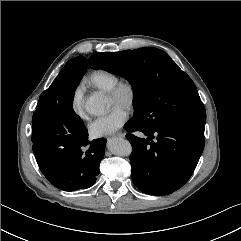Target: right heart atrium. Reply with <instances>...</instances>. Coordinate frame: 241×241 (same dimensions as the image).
<instances>
[{
    "mask_svg": "<svg viewBox=\"0 0 241 241\" xmlns=\"http://www.w3.org/2000/svg\"><path fill=\"white\" fill-rule=\"evenodd\" d=\"M72 109L76 115L79 117L84 116V99H83V89L77 87L74 91L72 97Z\"/></svg>",
    "mask_w": 241,
    "mask_h": 241,
    "instance_id": "obj_1",
    "label": "right heart atrium"
}]
</instances>
